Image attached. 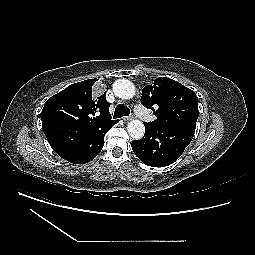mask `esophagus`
I'll use <instances>...</instances> for the list:
<instances>
[{"label": "esophagus", "mask_w": 255, "mask_h": 255, "mask_svg": "<svg viewBox=\"0 0 255 255\" xmlns=\"http://www.w3.org/2000/svg\"><path fill=\"white\" fill-rule=\"evenodd\" d=\"M132 118H133V116L123 117V120H124L125 122H128V121H130Z\"/></svg>", "instance_id": "esophagus-1"}]
</instances>
